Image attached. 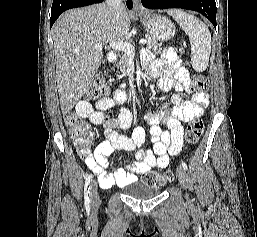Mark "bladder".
I'll return each mask as SVG.
<instances>
[{
	"mask_svg": "<svg viewBox=\"0 0 257 237\" xmlns=\"http://www.w3.org/2000/svg\"><path fill=\"white\" fill-rule=\"evenodd\" d=\"M159 193V187L151 186L140 181H133L127 186V195L140 200L154 198Z\"/></svg>",
	"mask_w": 257,
	"mask_h": 237,
	"instance_id": "obj_1",
	"label": "bladder"
}]
</instances>
